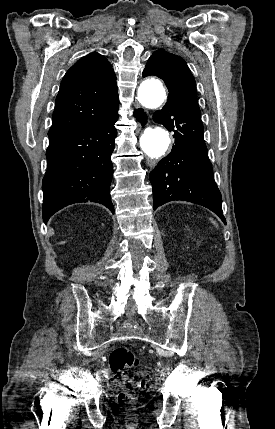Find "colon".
Segmentation results:
<instances>
[{
    "label": "colon",
    "instance_id": "5ec220e1",
    "mask_svg": "<svg viewBox=\"0 0 275 429\" xmlns=\"http://www.w3.org/2000/svg\"><path fill=\"white\" fill-rule=\"evenodd\" d=\"M109 367L118 382L123 386V391L118 393L117 402L120 405L132 404L136 400V393L143 390L146 385L144 375L138 372L137 378H131L127 371L135 369L138 361L133 352L124 346L114 348L109 354Z\"/></svg>",
    "mask_w": 275,
    "mask_h": 429
}]
</instances>
